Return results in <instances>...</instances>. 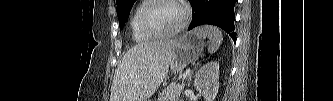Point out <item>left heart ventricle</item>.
Returning <instances> with one entry per match:
<instances>
[{
    "instance_id": "obj_1",
    "label": "left heart ventricle",
    "mask_w": 333,
    "mask_h": 101,
    "mask_svg": "<svg viewBox=\"0 0 333 101\" xmlns=\"http://www.w3.org/2000/svg\"><path fill=\"white\" fill-rule=\"evenodd\" d=\"M182 20V11L172 2L157 5L150 14L152 26L161 32H169L175 29Z\"/></svg>"
}]
</instances>
